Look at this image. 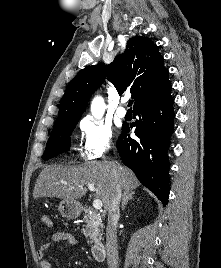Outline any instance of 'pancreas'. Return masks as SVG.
I'll return each instance as SVG.
<instances>
[{
    "instance_id": "pancreas-1",
    "label": "pancreas",
    "mask_w": 221,
    "mask_h": 268,
    "mask_svg": "<svg viewBox=\"0 0 221 268\" xmlns=\"http://www.w3.org/2000/svg\"><path fill=\"white\" fill-rule=\"evenodd\" d=\"M86 222L84 235L88 239V244L97 243L103 235V224L101 218L96 213L84 215Z\"/></svg>"
}]
</instances>
